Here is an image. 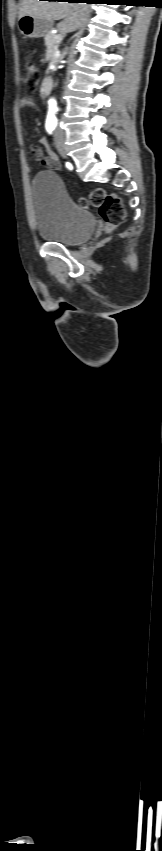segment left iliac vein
Here are the masks:
<instances>
[{
	"mask_svg": "<svg viewBox=\"0 0 162 851\" xmlns=\"http://www.w3.org/2000/svg\"><path fill=\"white\" fill-rule=\"evenodd\" d=\"M57 149H58L59 154H60L63 158H65V157H66V150H65L64 146H63L61 143H58V144H57Z\"/></svg>",
	"mask_w": 162,
	"mask_h": 851,
	"instance_id": "obj_1",
	"label": "left iliac vein"
}]
</instances>
